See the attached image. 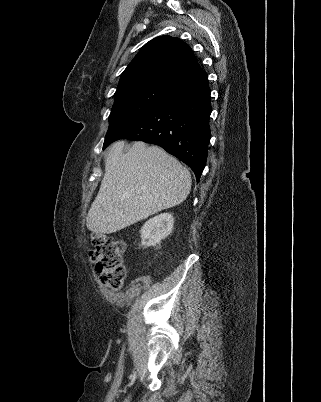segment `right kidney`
Masks as SVG:
<instances>
[{
    "instance_id": "1",
    "label": "right kidney",
    "mask_w": 321,
    "mask_h": 402,
    "mask_svg": "<svg viewBox=\"0 0 321 402\" xmlns=\"http://www.w3.org/2000/svg\"><path fill=\"white\" fill-rule=\"evenodd\" d=\"M174 218L172 214L162 213L149 219L141 228V245L144 247L160 244L173 229Z\"/></svg>"
}]
</instances>
